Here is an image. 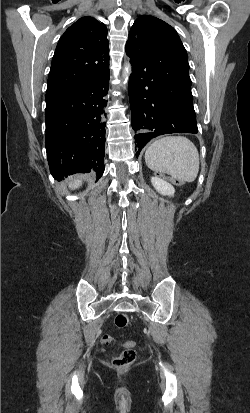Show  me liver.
<instances>
[{"label":"liver","instance_id":"liver-1","mask_svg":"<svg viewBox=\"0 0 250 413\" xmlns=\"http://www.w3.org/2000/svg\"><path fill=\"white\" fill-rule=\"evenodd\" d=\"M82 185V179L80 177H76L74 179H72L69 187L72 189H76L78 187H80Z\"/></svg>","mask_w":250,"mask_h":413}]
</instances>
